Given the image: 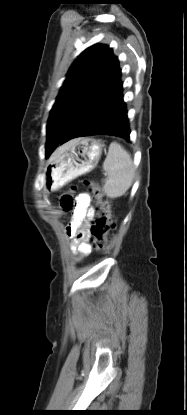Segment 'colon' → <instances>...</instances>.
Returning a JSON list of instances; mask_svg holds the SVG:
<instances>
[{"label": "colon", "instance_id": "obj_1", "mask_svg": "<svg viewBox=\"0 0 187 415\" xmlns=\"http://www.w3.org/2000/svg\"><path fill=\"white\" fill-rule=\"evenodd\" d=\"M85 185L89 187L100 208V214L91 225L89 232L93 238L95 248L101 250L108 244L116 228V222L113 218V205L110 198L104 194L97 183L85 181ZM60 203L65 210H69L74 204V198L71 194H65L62 196Z\"/></svg>", "mask_w": 187, "mask_h": 415}]
</instances>
